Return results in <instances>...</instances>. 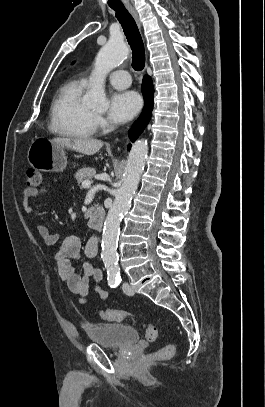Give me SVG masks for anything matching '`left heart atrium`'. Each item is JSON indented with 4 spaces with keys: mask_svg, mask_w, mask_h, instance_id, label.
<instances>
[{
    "mask_svg": "<svg viewBox=\"0 0 265 407\" xmlns=\"http://www.w3.org/2000/svg\"><path fill=\"white\" fill-rule=\"evenodd\" d=\"M141 108V99L136 92H116L109 101L108 116L115 123L131 120Z\"/></svg>",
    "mask_w": 265,
    "mask_h": 407,
    "instance_id": "1",
    "label": "left heart atrium"
}]
</instances>
